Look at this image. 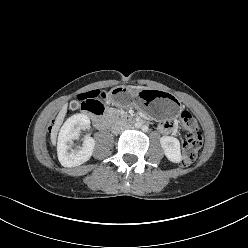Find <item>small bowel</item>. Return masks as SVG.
<instances>
[{"label": "small bowel", "mask_w": 248, "mask_h": 248, "mask_svg": "<svg viewBox=\"0 0 248 248\" xmlns=\"http://www.w3.org/2000/svg\"><path fill=\"white\" fill-rule=\"evenodd\" d=\"M159 130L162 133L169 134V133L174 132L175 129L171 123L165 121V122L160 123Z\"/></svg>", "instance_id": "small-bowel-1"}]
</instances>
